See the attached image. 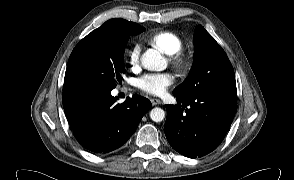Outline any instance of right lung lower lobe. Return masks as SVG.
Segmentation results:
<instances>
[{"label":"right lung lower lobe","instance_id":"right-lung-lower-lobe-1","mask_svg":"<svg viewBox=\"0 0 294 180\" xmlns=\"http://www.w3.org/2000/svg\"><path fill=\"white\" fill-rule=\"evenodd\" d=\"M111 90L81 88L63 92V107L77 141L96 153L113 151L132 136L151 102L133 95L117 103Z\"/></svg>","mask_w":294,"mask_h":180}]
</instances>
